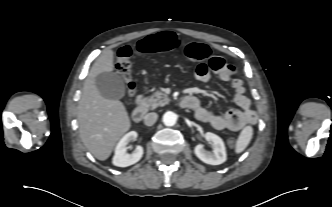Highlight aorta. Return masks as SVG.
<instances>
[{"mask_svg":"<svg viewBox=\"0 0 332 207\" xmlns=\"http://www.w3.org/2000/svg\"><path fill=\"white\" fill-rule=\"evenodd\" d=\"M162 120L166 126H173L177 121V116L175 113L168 111L163 115Z\"/></svg>","mask_w":332,"mask_h":207,"instance_id":"762f6f07","label":"aorta"}]
</instances>
